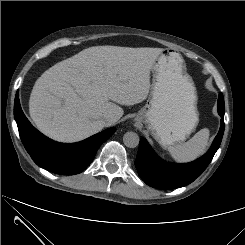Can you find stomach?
Instances as JSON below:
<instances>
[{
  "label": "stomach",
  "instance_id": "1",
  "mask_svg": "<svg viewBox=\"0 0 245 245\" xmlns=\"http://www.w3.org/2000/svg\"><path fill=\"white\" fill-rule=\"evenodd\" d=\"M151 71L149 98L135 120L144 123L162 147L178 145L199 122L196 88L181 54L170 49H163Z\"/></svg>",
  "mask_w": 245,
  "mask_h": 245
}]
</instances>
